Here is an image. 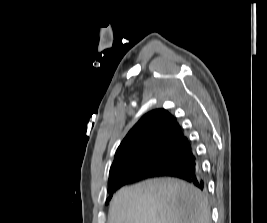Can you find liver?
<instances>
[{"mask_svg":"<svg viewBox=\"0 0 267 223\" xmlns=\"http://www.w3.org/2000/svg\"><path fill=\"white\" fill-rule=\"evenodd\" d=\"M107 223H210V209L194 186L178 179H151L120 189Z\"/></svg>","mask_w":267,"mask_h":223,"instance_id":"obj_1","label":"liver"}]
</instances>
